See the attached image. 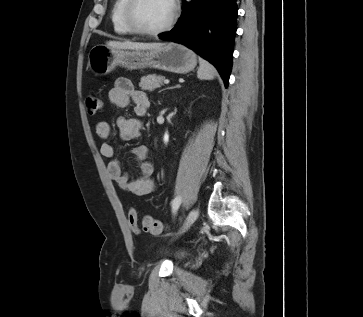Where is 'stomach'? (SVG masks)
<instances>
[{
    "instance_id": "stomach-1",
    "label": "stomach",
    "mask_w": 363,
    "mask_h": 317,
    "mask_svg": "<svg viewBox=\"0 0 363 317\" xmlns=\"http://www.w3.org/2000/svg\"><path fill=\"white\" fill-rule=\"evenodd\" d=\"M197 65L193 51L178 43H168L151 50L112 49L106 45L92 47L88 55V66L96 76H104L117 66L128 69L156 68L172 73L184 74Z\"/></svg>"
}]
</instances>
